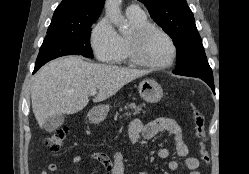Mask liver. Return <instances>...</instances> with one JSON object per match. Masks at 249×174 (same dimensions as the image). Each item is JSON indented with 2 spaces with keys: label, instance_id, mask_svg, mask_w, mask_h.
<instances>
[{
  "label": "liver",
  "instance_id": "1",
  "mask_svg": "<svg viewBox=\"0 0 249 174\" xmlns=\"http://www.w3.org/2000/svg\"><path fill=\"white\" fill-rule=\"evenodd\" d=\"M148 71L92 63L68 56L51 61L35 75L31 87L32 109L40 127L56 114H74L84 109L92 90L98 103L117 93L127 83Z\"/></svg>",
  "mask_w": 249,
  "mask_h": 174
}]
</instances>
